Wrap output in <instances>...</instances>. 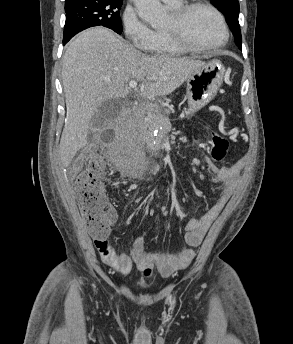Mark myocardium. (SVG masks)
<instances>
[{
    "instance_id": "obj_1",
    "label": "myocardium",
    "mask_w": 293,
    "mask_h": 344,
    "mask_svg": "<svg viewBox=\"0 0 293 344\" xmlns=\"http://www.w3.org/2000/svg\"><path fill=\"white\" fill-rule=\"evenodd\" d=\"M195 8H205L209 10L215 15V17L219 21V24L223 32V37L218 43L211 46H197L191 43L184 35L182 31V22L185 16L188 14V12ZM172 16L175 22L174 27L169 30H164V32L175 44L185 49L186 51L195 53L213 52L225 46L229 41L230 33L224 15L218 8H216L209 2H206L204 0H192L189 3H185L176 8H173Z\"/></svg>"
}]
</instances>
